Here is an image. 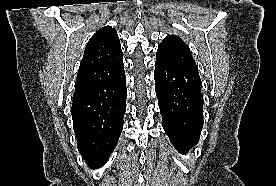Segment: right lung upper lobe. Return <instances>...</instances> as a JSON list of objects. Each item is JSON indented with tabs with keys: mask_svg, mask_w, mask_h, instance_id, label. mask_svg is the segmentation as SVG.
Masks as SVG:
<instances>
[{
	"mask_svg": "<svg viewBox=\"0 0 276 186\" xmlns=\"http://www.w3.org/2000/svg\"><path fill=\"white\" fill-rule=\"evenodd\" d=\"M124 73L117 32L111 26H105L91 37L86 46L75 89L109 83Z\"/></svg>",
	"mask_w": 276,
	"mask_h": 186,
	"instance_id": "right-lung-upper-lobe-1",
	"label": "right lung upper lobe"
}]
</instances>
